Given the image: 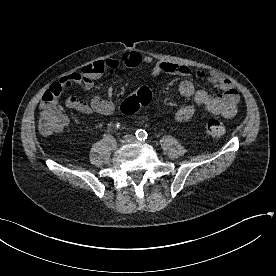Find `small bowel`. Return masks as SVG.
<instances>
[{
    "label": "small bowel",
    "mask_w": 276,
    "mask_h": 276,
    "mask_svg": "<svg viewBox=\"0 0 276 276\" xmlns=\"http://www.w3.org/2000/svg\"><path fill=\"white\" fill-rule=\"evenodd\" d=\"M141 64L151 65L153 76L166 73L187 78L192 74L191 70L185 65L162 61L154 63L151 56L129 51L123 54L120 59L109 58L94 61L82 67L79 72L63 77L59 83L64 87V90H69L74 86L89 90L94 86L95 81L105 75H113L120 67L134 68ZM197 76L211 83L217 89V92L209 93L205 90L196 89L188 79L181 81L179 92L185 97L192 98L194 103L179 108L174 114V119L178 122L190 120L195 115L198 106L204 107L214 115H221L225 118L234 117L237 113L239 95L232 83L214 72H198ZM48 93L49 90L44 93L41 103L45 102ZM113 94V90H110L106 98L93 95L89 101H84L76 95L69 94L65 99V103L68 108L85 115L99 114L106 116L112 114L116 108Z\"/></svg>",
    "instance_id": "small-bowel-1"
}]
</instances>
